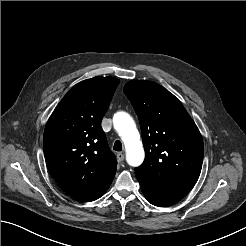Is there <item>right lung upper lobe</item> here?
Listing matches in <instances>:
<instances>
[{
	"label": "right lung upper lobe",
	"instance_id": "1",
	"mask_svg": "<svg viewBox=\"0 0 246 246\" xmlns=\"http://www.w3.org/2000/svg\"><path fill=\"white\" fill-rule=\"evenodd\" d=\"M120 81L94 77L76 84L50 116L43 137L49 172L69 195L104 193L117 161L101 121Z\"/></svg>",
	"mask_w": 246,
	"mask_h": 246
}]
</instances>
